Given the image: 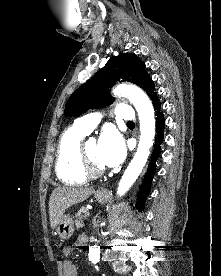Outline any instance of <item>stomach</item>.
<instances>
[{"mask_svg":"<svg viewBox=\"0 0 221 276\" xmlns=\"http://www.w3.org/2000/svg\"><path fill=\"white\" fill-rule=\"evenodd\" d=\"M94 197L99 203H105L109 199V194L102 191H96L94 193ZM56 231L61 239H69L74 233L72 218L69 215H64L58 223Z\"/></svg>","mask_w":221,"mask_h":276,"instance_id":"1","label":"stomach"}]
</instances>
